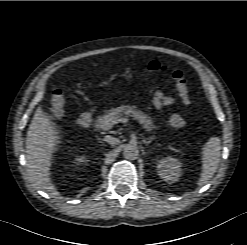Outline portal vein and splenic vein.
<instances>
[{
    "mask_svg": "<svg viewBox=\"0 0 247 245\" xmlns=\"http://www.w3.org/2000/svg\"><path fill=\"white\" fill-rule=\"evenodd\" d=\"M129 120H130L129 118L123 117V118L119 119V122L126 123ZM114 124H117V122L116 121H112V120H106L104 125L102 126V129L103 130H108V129L112 128V126Z\"/></svg>",
    "mask_w": 247,
    "mask_h": 245,
    "instance_id": "obj_1",
    "label": "portal vein and splenic vein"
}]
</instances>
